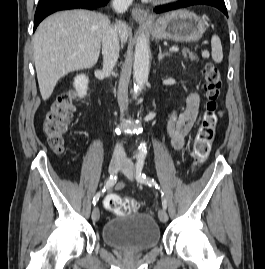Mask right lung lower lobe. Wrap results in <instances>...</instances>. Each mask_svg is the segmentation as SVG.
Wrapping results in <instances>:
<instances>
[{
    "label": "right lung lower lobe",
    "mask_w": 265,
    "mask_h": 269,
    "mask_svg": "<svg viewBox=\"0 0 265 269\" xmlns=\"http://www.w3.org/2000/svg\"><path fill=\"white\" fill-rule=\"evenodd\" d=\"M109 0H40L34 17V30L48 15L59 10L85 8L96 9L107 5Z\"/></svg>",
    "instance_id": "98d812e1"
}]
</instances>
